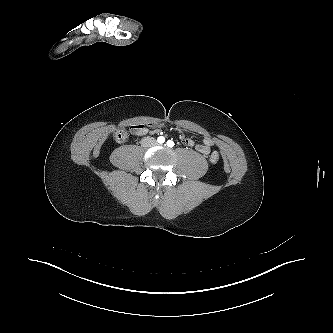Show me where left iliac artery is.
Returning <instances> with one entry per match:
<instances>
[{
  "mask_svg": "<svg viewBox=\"0 0 333 333\" xmlns=\"http://www.w3.org/2000/svg\"><path fill=\"white\" fill-rule=\"evenodd\" d=\"M167 146L172 148L174 146V142L172 140L167 141Z\"/></svg>",
  "mask_w": 333,
  "mask_h": 333,
  "instance_id": "obj_1",
  "label": "left iliac artery"
}]
</instances>
